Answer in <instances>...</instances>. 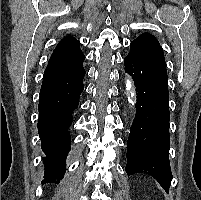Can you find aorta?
I'll use <instances>...</instances> for the list:
<instances>
[{"mask_svg":"<svg viewBox=\"0 0 201 200\" xmlns=\"http://www.w3.org/2000/svg\"><path fill=\"white\" fill-rule=\"evenodd\" d=\"M125 85H126V94L128 96V101L129 103L134 104L135 89H134L133 82L129 76H127L125 80Z\"/></svg>","mask_w":201,"mask_h":200,"instance_id":"762f6f07","label":"aorta"}]
</instances>
